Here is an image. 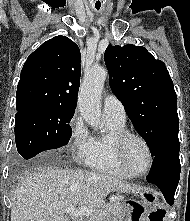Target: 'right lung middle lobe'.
<instances>
[{
  "label": "right lung middle lobe",
  "instance_id": "obj_1",
  "mask_svg": "<svg viewBox=\"0 0 190 221\" xmlns=\"http://www.w3.org/2000/svg\"><path fill=\"white\" fill-rule=\"evenodd\" d=\"M74 110L33 107L16 113L15 141L18 153L26 160L37 154L68 144L69 125Z\"/></svg>",
  "mask_w": 190,
  "mask_h": 221
}]
</instances>
